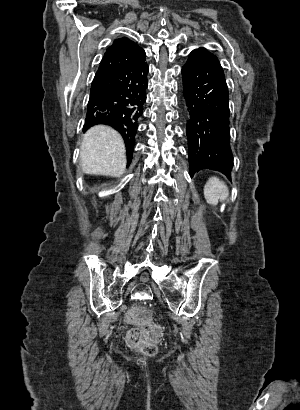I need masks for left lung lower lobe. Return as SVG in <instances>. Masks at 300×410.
I'll use <instances>...</instances> for the list:
<instances>
[{
	"label": "left lung lower lobe",
	"instance_id": "0a47b994",
	"mask_svg": "<svg viewBox=\"0 0 300 410\" xmlns=\"http://www.w3.org/2000/svg\"><path fill=\"white\" fill-rule=\"evenodd\" d=\"M190 121L187 125L190 176L202 169L230 177L228 88L219 61L190 53L182 67Z\"/></svg>",
	"mask_w": 300,
	"mask_h": 410
}]
</instances>
